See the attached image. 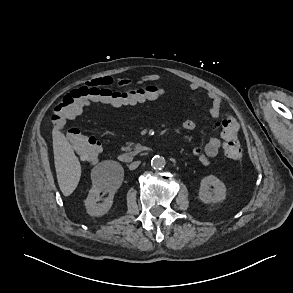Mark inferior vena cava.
Wrapping results in <instances>:
<instances>
[{
    "label": "inferior vena cava",
    "mask_w": 293,
    "mask_h": 293,
    "mask_svg": "<svg viewBox=\"0 0 293 293\" xmlns=\"http://www.w3.org/2000/svg\"><path fill=\"white\" fill-rule=\"evenodd\" d=\"M139 164H140L139 161L132 162V163L129 165V169H130V170H134V169H136V168L139 166Z\"/></svg>",
    "instance_id": "1"
}]
</instances>
